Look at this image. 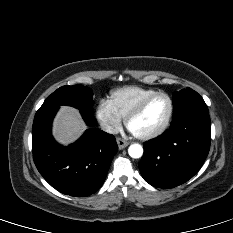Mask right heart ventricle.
<instances>
[{
    "mask_svg": "<svg viewBox=\"0 0 233 233\" xmlns=\"http://www.w3.org/2000/svg\"><path fill=\"white\" fill-rule=\"evenodd\" d=\"M155 92L150 88L126 86L112 91L109 102L119 116L125 118L139 102Z\"/></svg>",
    "mask_w": 233,
    "mask_h": 233,
    "instance_id": "obj_1",
    "label": "right heart ventricle"
}]
</instances>
